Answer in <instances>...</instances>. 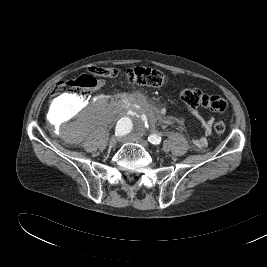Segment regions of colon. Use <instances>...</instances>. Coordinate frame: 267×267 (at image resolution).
Here are the masks:
<instances>
[{"label": "colon", "mask_w": 267, "mask_h": 267, "mask_svg": "<svg viewBox=\"0 0 267 267\" xmlns=\"http://www.w3.org/2000/svg\"><path fill=\"white\" fill-rule=\"evenodd\" d=\"M122 75L126 80L135 85L147 87H162L167 84V75L155 68L136 66L119 71L112 67H92L87 74L58 82L51 95L54 98L70 95L78 99L85 98L98 85L97 77L115 78ZM181 99L192 109L206 108L216 113H223L227 109V101L219 95H209L196 88H187L181 91ZM214 131L217 134L225 132V124L222 121L214 123Z\"/></svg>", "instance_id": "1"}]
</instances>
